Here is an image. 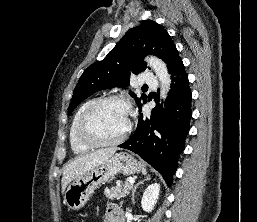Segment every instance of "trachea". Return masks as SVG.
Segmentation results:
<instances>
[{"mask_svg":"<svg viewBox=\"0 0 257 222\" xmlns=\"http://www.w3.org/2000/svg\"><path fill=\"white\" fill-rule=\"evenodd\" d=\"M143 88H148L147 86H144Z\"/></svg>","mask_w":257,"mask_h":222,"instance_id":"obj_1","label":"trachea"}]
</instances>
